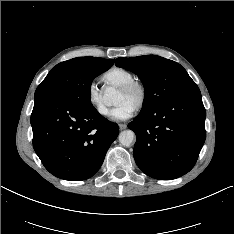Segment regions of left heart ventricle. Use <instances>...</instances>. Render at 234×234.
I'll return each mask as SVG.
<instances>
[{"mask_svg": "<svg viewBox=\"0 0 234 234\" xmlns=\"http://www.w3.org/2000/svg\"><path fill=\"white\" fill-rule=\"evenodd\" d=\"M136 101H137V94L135 92L130 93V94H125V93L118 91L116 98H115L116 105L125 102L135 107Z\"/></svg>", "mask_w": 234, "mask_h": 234, "instance_id": "obj_1", "label": "left heart ventricle"}]
</instances>
